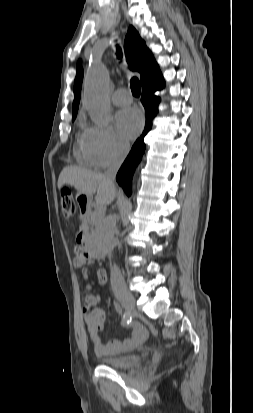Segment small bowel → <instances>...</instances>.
<instances>
[{
    "mask_svg": "<svg viewBox=\"0 0 253 413\" xmlns=\"http://www.w3.org/2000/svg\"><path fill=\"white\" fill-rule=\"evenodd\" d=\"M75 254L76 256L73 259V265L76 268L82 269L83 278L86 287L89 290V293L85 296L86 313L84 315V322L95 353L98 356H112L140 346L148 336L146 328L140 323H134L132 325V332L124 341L110 340L106 343L102 341L100 332L105 324V313L103 310L95 307L99 299L98 296L92 292V287L88 283L86 265L91 262V258L85 254L80 246L75 248ZM96 279L99 285L105 284L107 280V272L104 268L97 269Z\"/></svg>",
    "mask_w": 253,
    "mask_h": 413,
    "instance_id": "1",
    "label": "small bowel"
}]
</instances>
